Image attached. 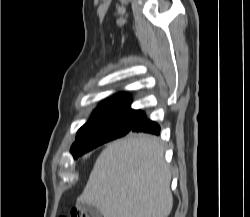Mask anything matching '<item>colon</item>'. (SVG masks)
I'll return each mask as SVG.
<instances>
[{"instance_id":"5ec220e1","label":"colon","mask_w":250,"mask_h":217,"mask_svg":"<svg viewBox=\"0 0 250 217\" xmlns=\"http://www.w3.org/2000/svg\"><path fill=\"white\" fill-rule=\"evenodd\" d=\"M66 217H89L86 213L73 209L71 210Z\"/></svg>"}]
</instances>
